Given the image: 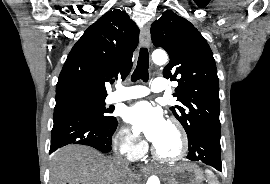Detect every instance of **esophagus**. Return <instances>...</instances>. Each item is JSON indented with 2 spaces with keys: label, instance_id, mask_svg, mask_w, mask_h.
<instances>
[{
  "label": "esophagus",
  "instance_id": "34e87169",
  "mask_svg": "<svg viewBox=\"0 0 270 184\" xmlns=\"http://www.w3.org/2000/svg\"><path fill=\"white\" fill-rule=\"evenodd\" d=\"M140 44L142 46H144V47H149V45H150V28H149V26H144L141 29V32H140ZM141 169L144 172L151 171V167L150 166L143 165L141 167Z\"/></svg>",
  "mask_w": 270,
  "mask_h": 184
}]
</instances>
